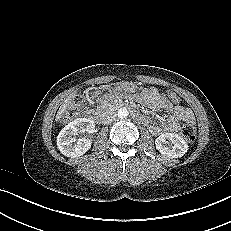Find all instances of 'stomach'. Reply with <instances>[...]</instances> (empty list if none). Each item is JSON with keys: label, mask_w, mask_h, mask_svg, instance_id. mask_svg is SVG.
<instances>
[{"label": "stomach", "mask_w": 231, "mask_h": 231, "mask_svg": "<svg viewBox=\"0 0 231 231\" xmlns=\"http://www.w3.org/2000/svg\"><path fill=\"white\" fill-rule=\"evenodd\" d=\"M120 89L125 92H135L137 90V85L133 82H122Z\"/></svg>", "instance_id": "stomach-1"}]
</instances>
